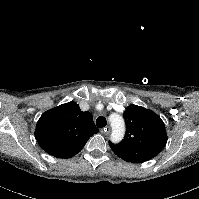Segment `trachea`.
Wrapping results in <instances>:
<instances>
[{
    "label": "trachea",
    "instance_id": "obj_1",
    "mask_svg": "<svg viewBox=\"0 0 199 199\" xmlns=\"http://www.w3.org/2000/svg\"><path fill=\"white\" fill-rule=\"evenodd\" d=\"M107 124L106 119L103 116H100L96 119V125L98 128H103Z\"/></svg>",
    "mask_w": 199,
    "mask_h": 199
}]
</instances>
